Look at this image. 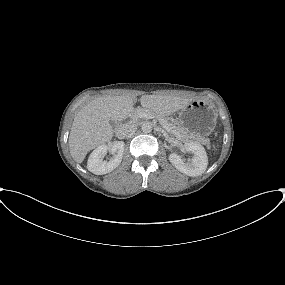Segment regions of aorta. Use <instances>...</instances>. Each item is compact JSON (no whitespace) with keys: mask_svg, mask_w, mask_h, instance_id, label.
Instances as JSON below:
<instances>
[{"mask_svg":"<svg viewBox=\"0 0 285 285\" xmlns=\"http://www.w3.org/2000/svg\"><path fill=\"white\" fill-rule=\"evenodd\" d=\"M141 130L144 133H150L152 131V124L150 122H144L141 125Z\"/></svg>","mask_w":285,"mask_h":285,"instance_id":"aorta-1","label":"aorta"}]
</instances>
